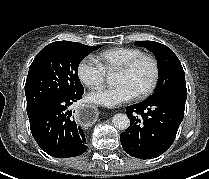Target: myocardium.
Wrapping results in <instances>:
<instances>
[{
  "instance_id": "obj_1",
  "label": "myocardium",
  "mask_w": 209,
  "mask_h": 179,
  "mask_svg": "<svg viewBox=\"0 0 209 179\" xmlns=\"http://www.w3.org/2000/svg\"><path fill=\"white\" fill-rule=\"evenodd\" d=\"M143 60H149L152 63L153 77L149 86L145 90H143L142 92L138 93L135 96L137 99H142V98L149 96L157 87L159 77H160V67H159V62L156 59V57L151 54L142 53L134 57L130 61H128L126 64L121 66L116 71V73H129Z\"/></svg>"
}]
</instances>
